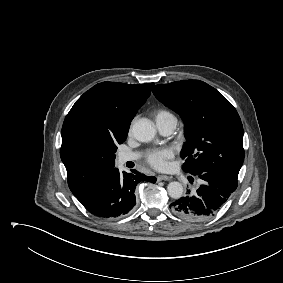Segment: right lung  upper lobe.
Instances as JSON below:
<instances>
[{
	"label": "right lung upper lobe",
	"instance_id": "cb5924a9",
	"mask_svg": "<svg viewBox=\"0 0 283 283\" xmlns=\"http://www.w3.org/2000/svg\"><path fill=\"white\" fill-rule=\"evenodd\" d=\"M154 83L96 84L73 105L62 126L60 156L74 195L115 168L114 147L127 137L130 122L150 96Z\"/></svg>",
	"mask_w": 283,
	"mask_h": 283
}]
</instances>
